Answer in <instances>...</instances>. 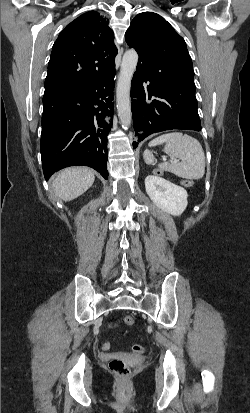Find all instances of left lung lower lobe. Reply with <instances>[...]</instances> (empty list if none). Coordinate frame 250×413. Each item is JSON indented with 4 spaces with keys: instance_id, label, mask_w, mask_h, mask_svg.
I'll return each mask as SVG.
<instances>
[{
    "instance_id": "obj_1",
    "label": "left lung lower lobe",
    "mask_w": 250,
    "mask_h": 413,
    "mask_svg": "<svg viewBox=\"0 0 250 413\" xmlns=\"http://www.w3.org/2000/svg\"><path fill=\"white\" fill-rule=\"evenodd\" d=\"M148 83L143 86V83ZM131 109L138 146L152 133L172 129L201 130L194 82L161 79L137 67L131 83Z\"/></svg>"
}]
</instances>
